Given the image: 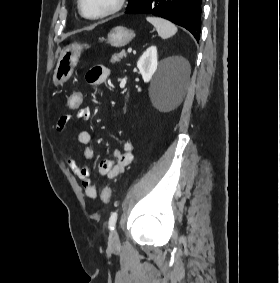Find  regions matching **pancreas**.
<instances>
[{
    "mask_svg": "<svg viewBox=\"0 0 280 283\" xmlns=\"http://www.w3.org/2000/svg\"><path fill=\"white\" fill-rule=\"evenodd\" d=\"M127 56L126 52L124 50H122L119 53H115L114 55H112L111 57V62L112 63H119L121 61V59L125 58Z\"/></svg>",
    "mask_w": 280,
    "mask_h": 283,
    "instance_id": "1",
    "label": "pancreas"
}]
</instances>
